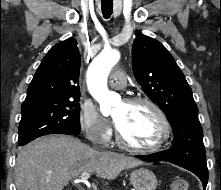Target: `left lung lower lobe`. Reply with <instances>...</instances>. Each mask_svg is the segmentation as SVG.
<instances>
[{
	"mask_svg": "<svg viewBox=\"0 0 221 190\" xmlns=\"http://www.w3.org/2000/svg\"><path fill=\"white\" fill-rule=\"evenodd\" d=\"M136 157L148 162L166 161L183 167L197 175L202 181L204 189L206 188L208 182V169L205 160L176 155L171 152V150L161 151L150 155H137Z\"/></svg>",
	"mask_w": 221,
	"mask_h": 190,
	"instance_id": "1",
	"label": "left lung lower lobe"
}]
</instances>
